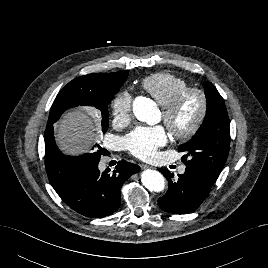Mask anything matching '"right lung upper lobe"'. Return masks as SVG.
<instances>
[{"label":"right lung upper lobe","instance_id":"right-lung-upper-lobe-1","mask_svg":"<svg viewBox=\"0 0 268 268\" xmlns=\"http://www.w3.org/2000/svg\"><path fill=\"white\" fill-rule=\"evenodd\" d=\"M127 75L128 70L115 73H92L69 82L55 99L61 100L62 106L49 115L45 139H50L53 136V123L66 109L79 105L95 106L100 103L111 102L125 82Z\"/></svg>","mask_w":268,"mask_h":268}]
</instances>
